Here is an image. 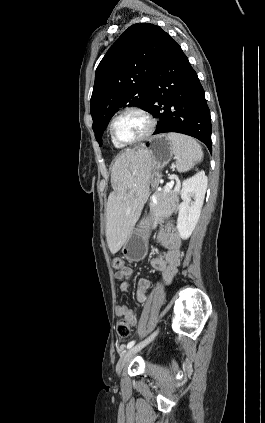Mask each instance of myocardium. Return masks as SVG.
<instances>
[{
	"label": "myocardium",
	"instance_id": "obj_1",
	"mask_svg": "<svg viewBox=\"0 0 265 423\" xmlns=\"http://www.w3.org/2000/svg\"><path fill=\"white\" fill-rule=\"evenodd\" d=\"M127 113H137L142 115L148 123V127L147 130L138 138L132 140V141H120L114 133V124L116 122V120L118 118H120L121 116L127 114ZM156 128V120L154 119V117L152 116V114L146 110L145 108L141 107V106H137V105H131V106H127L124 107L123 109H121L120 111H118L111 119L110 124H109V132H110V136L111 139L121 145V146H129V145H134L137 143H140L144 140H146L149 136H151L154 132Z\"/></svg>",
	"mask_w": 265,
	"mask_h": 423
}]
</instances>
